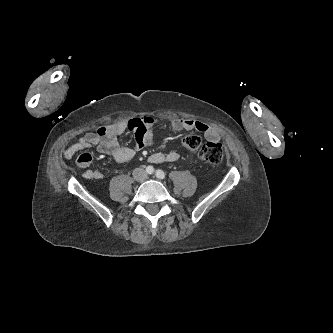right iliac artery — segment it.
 Segmentation results:
<instances>
[{
	"instance_id": "right-iliac-artery-1",
	"label": "right iliac artery",
	"mask_w": 333,
	"mask_h": 333,
	"mask_svg": "<svg viewBox=\"0 0 333 333\" xmlns=\"http://www.w3.org/2000/svg\"><path fill=\"white\" fill-rule=\"evenodd\" d=\"M146 172H147L148 174H153V172H154V168H153L152 166H148V167L146 168Z\"/></svg>"
}]
</instances>
